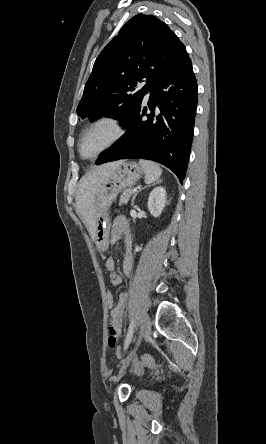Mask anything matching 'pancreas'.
<instances>
[{
	"mask_svg": "<svg viewBox=\"0 0 266 444\" xmlns=\"http://www.w3.org/2000/svg\"><path fill=\"white\" fill-rule=\"evenodd\" d=\"M133 193L134 191L132 189H125L120 197L119 205L127 204Z\"/></svg>",
	"mask_w": 266,
	"mask_h": 444,
	"instance_id": "pancreas-1",
	"label": "pancreas"
}]
</instances>
